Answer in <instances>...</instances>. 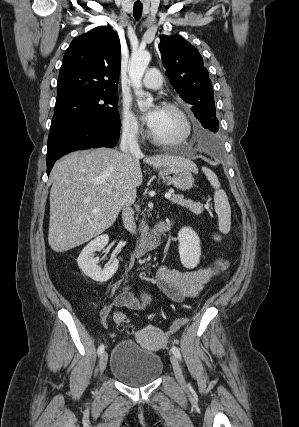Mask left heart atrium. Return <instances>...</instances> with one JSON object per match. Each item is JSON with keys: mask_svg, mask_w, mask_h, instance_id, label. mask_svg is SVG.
<instances>
[{"mask_svg": "<svg viewBox=\"0 0 299 427\" xmlns=\"http://www.w3.org/2000/svg\"><path fill=\"white\" fill-rule=\"evenodd\" d=\"M159 110L160 108L156 107L153 108L151 111H149L148 113H146L143 116L144 121L147 123V125L152 129L153 126L156 123V120L158 118V114H159Z\"/></svg>", "mask_w": 299, "mask_h": 427, "instance_id": "39dd6f15", "label": "left heart atrium"}]
</instances>
